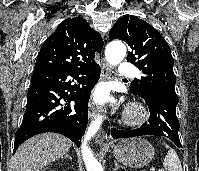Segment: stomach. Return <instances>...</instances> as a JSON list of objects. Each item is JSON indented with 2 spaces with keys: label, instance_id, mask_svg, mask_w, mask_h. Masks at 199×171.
<instances>
[{
  "label": "stomach",
  "instance_id": "0dacf381",
  "mask_svg": "<svg viewBox=\"0 0 199 171\" xmlns=\"http://www.w3.org/2000/svg\"><path fill=\"white\" fill-rule=\"evenodd\" d=\"M113 155L125 166L141 168L153 159L154 148L144 138H127L114 146Z\"/></svg>",
  "mask_w": 199,
  "mask_h": 171
}]
</instances>
